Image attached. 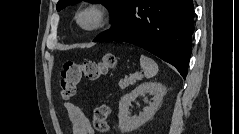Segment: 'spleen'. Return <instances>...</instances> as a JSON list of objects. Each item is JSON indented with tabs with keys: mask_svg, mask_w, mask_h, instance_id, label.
I'll use <instances>...</instances> for the list:
<instances>
[{
	"mask_svg": "<svg viewBox=\"0 0 239 134\" xmlns=\"http://www.w3.org/2000/svg\"><path fill=\"white\" fill-rule=\"evenodd\" d=\"M140 66L144 71V76L147 79L154 77L158 73V65L152 59L145 55H141L140 57Z\"/></svg>",
	"mask_w": 239,
	"mask_h": 134,
	"instance_id": "3e777b00",
	"label": "spleen"
}]
</instances>
